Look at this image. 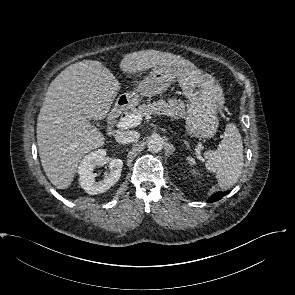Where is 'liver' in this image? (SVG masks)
<instances>
[{"mask_svg": "<svg viewBox=\"0 0 295 295\" xmlns=\"http://www.w3.org/2000/svg\"><path fill=\"white\" fill-rule=\"evenodd\" d=\"M158 66L196 69L187 59L156 50L130 53L120 63L130 74ZM119 89L111 71L93 60L71 64L51 82L36 132L42 167L57 189L68 188L82 157L104 145L103 134L89 120L106 117Z\"/></svg>", "mask_w": 295, "mask_h": 295, "instance_id": "6515ba94", "label": "liver"}]
</instances>
